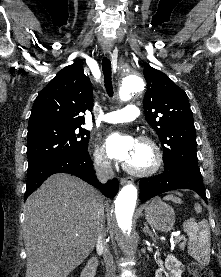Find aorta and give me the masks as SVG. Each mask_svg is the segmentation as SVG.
Masks as SVG:
<instances>
[{"mask_svg":"<svg viewBox=\"0 0 221 277\" xmlns=\"http://www.w3.org/2000/svg\"><path fill=\"white\" fill-rule=\"evenodd\" d=\"M144 87V80L139 74H126L120 82L119 99L123 102L129 101L135 93L142 92ZM136 202L137 188L135 185L123 186L113 202L111 215L113 234L121 249L128 255L135 254L137 250L134 217Z\"/></svg>","mask_w":221,"mask_h":277,"instance_id":"aorta-1","label":"aorta"}]
</instances>
